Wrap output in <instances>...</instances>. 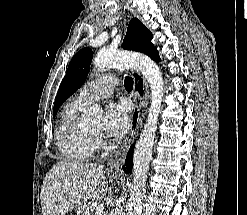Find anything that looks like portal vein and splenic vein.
<instances>
[{
  "instance_id": "18ae733b",
  "label": "portal vein and splenic vein",
  "mask_w": 247,
  "mask_h": 215,
  "mask_svg": "<svg viewBox=\"0 0 247 215\" xmlns=\"http://www.w3.org/2000/svg\"><path fill=\"white\" fill-rule=\"evenodd\" d=\"M96 215H105L104 214V205L103 204H99L96 207Z\"/></svg>"
}]
</instances>
